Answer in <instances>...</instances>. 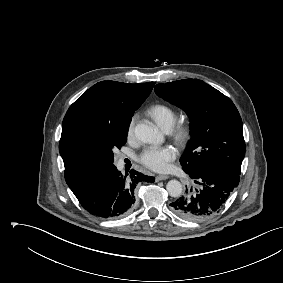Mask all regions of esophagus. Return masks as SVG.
<instances>
[{
	"label": "esophagus",
	"instance_id": "esophagus-1",
	"mask_svg": "<svg viewBox=\"0 0 283 283\" xmlns=\"http://www.w3.org/2000/svg\"><path fill=\"white\" fill-rule=\"evenodd\" d=\"M168 178H169L168 175H157V176H156V181L166 180V179H168Z\"/></svg>",
	"mask_w": 283,
	"mask_h": 283
}]
</instances>
